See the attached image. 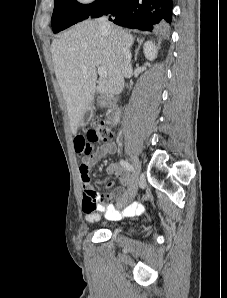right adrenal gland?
<instances>
[{
	"label": "right adrenal gland",
	"mask_w": 227,
	"mask_h": 298,
	"mask_svg": "<svg viewBox=\"0 0 227 298\" xmlns=\"http://www.w3.org/2000/svg\"><path fill=\"white\" fill-rule=\"evenodd\" d=\"M137 41H138L139 45H138L137 49L135 50V58H134L135 61L137 60L138 53H139L140 47H141L144 39H137Z\"/></svg>",
	"instance_id": "right-adrenal-gland-1"
}]
</instances>
